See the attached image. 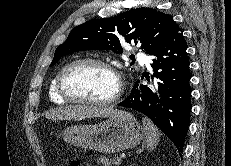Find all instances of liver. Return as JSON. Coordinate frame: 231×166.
I'll return each instance as SVG.
<instances>
[{"mask_svg":"<svg viewBox=\"0 0 231 166\" xmlns=\"http://www.w3.org/2000/svg\"><path fill=\"white\" fill-rule=\"evenodd\" d=\"M124 113L112 107L66 106L52 109L46 113L51 120H82L91 117L115 118Z\"/></svg>","mask_w":231,"mask_h":166,"instance_id":"1","label":"liver"}]
</instances>
